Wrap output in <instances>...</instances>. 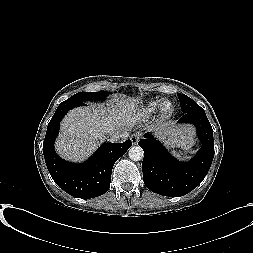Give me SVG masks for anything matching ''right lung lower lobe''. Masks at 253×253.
Segmentation results:
<instances>
[{
  "label": "right lung lower lobe",
  "instance_id": "1",
  "mask_svg": "<svg viewBox=\"0 0 253 253\" xmlns=\"http://www.w3.org/2000/svg\"><path fill=\"white\" fill-rule=\"evenodd\" d=\"M81 105H85L84 102H62L58 106L47 127L43 154L54 182L72 196L84 199L107 192L113 165L132 146V142L127 140L119 144L104 143L88 161L82 164H73L61 159L54 150L60 122L70 109Z\"/></svg>",
  "mask_w": 253,
  "mask_h": 253
}]
</instances>
